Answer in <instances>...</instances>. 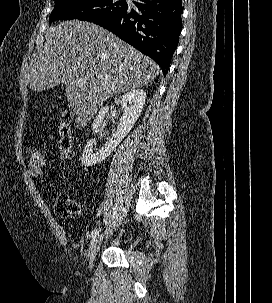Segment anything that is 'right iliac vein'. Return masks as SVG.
I'll list each match as a JSON object with an SVG mask.
<instances>
[{
	"label": "right iliac vein",
	"instance_id": "obj_1",
	"mask_svg": "<svg viewBox=\"0 0 272 303\" xmlns=\"http://www.w3.org/2000/svg\"><path fill=\"white\" fill-rule=\"evenodd\" d=\"M103 240V234L96 235L95 237L92 238L89 244L88 248V268L91 270L93 267V263L95 260V257L97 255V252L99 250V247L101 245V242Z\"/></svg>",
	"mask_w": 272,
	"mask_h": 303
}]
</instances>
